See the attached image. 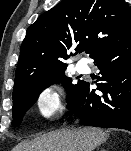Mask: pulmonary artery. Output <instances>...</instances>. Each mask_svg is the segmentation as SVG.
<instances>
[{"mask_svg":"<svg viewBox=\"0 0 131 151\" xmlns=\"http://www.w3.org/2000/svg\"><path fill=\"white\" fill-rule=\"evenodd\" d=\"M76 70L79 72V73H85L88 71V66L83 63V62H78L76 64Z\"/></svg>","mask_w":131,"mask_h":151,"instance_id":"pulmonary-artery-1","label":"pulmonary artery"}]
</instances>
